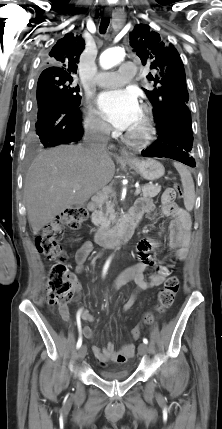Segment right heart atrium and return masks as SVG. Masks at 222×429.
I'll use <instances>...</instances> for the list:
<instances>
[{"label":"right heart atrium","instance_id":"right-heart-atrium-1","mask_svg":"<svg viewBox=\"0 0 222 429\" xmlns=\"http://www.w3.org/2000/svg\"><path fill=\"white\" fill-rule=\"evenodd\" d=\"M84 125L92 134H105L109 130L107 124L92 107H89L85 115Z\"/></svg>","mask_w":222,"mask_h":429}]
</instances>
